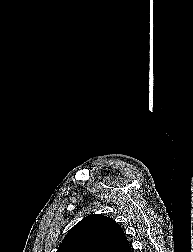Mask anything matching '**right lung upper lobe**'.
<instances>
[{"mask_svg": "<svg viewBox=\"0 0 193 252\" xmlns=\"http://www.w3.org/2000/svg\"><path fill=\"white\" fill-rule=\"evenodd\" d=\"M57 252H131V249L118 223L102 214H92L68 232Z\"/></svg>", "mask_w": 193, "mask_h": 252, "instance_id": "right-lung-upper-lobe-1", "label": "right lung upper lobe"}]
</instances>
